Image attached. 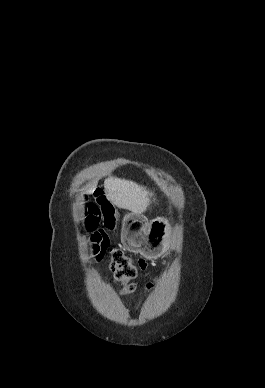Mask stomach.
Wrapping results in <instances>:
<instances>
[{"mask_svg": "<svg viewBox=\"0 0 265 388\" xmlns=\"http://www.w3.org/2000/svg\"><path fill=\"white\" fill-rule=\"evenodd\" d=\"M171 226L167 219H148L137 213L127 214L122 223L121 242L130 252L157 258L168 249Z\"/></svg>", "mask_w": 265, "mask_h": 388, "instance_id": "1", "label": "stomach"}]
</instances>
